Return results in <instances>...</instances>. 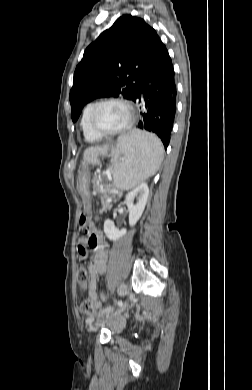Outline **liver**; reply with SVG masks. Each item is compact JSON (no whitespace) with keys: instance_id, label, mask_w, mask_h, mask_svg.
<instances>
[{"instance_id":"1","label":"liver","mask_w":252,"mask_h":390,"mask_svg":"<svg viewBox=\"0 0 252 390\" xmlns=\"http://www.w3.org/2000/svg\"><path fill=\"white\" fill-rule=\"evenodd\" d=\"M100 149H104V150L107 152V151H108V146L90 148V149H88L87 151L100 150ZM87 151H86V152H87Z\"/></svg>"}]
</instances>
